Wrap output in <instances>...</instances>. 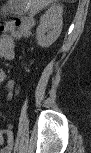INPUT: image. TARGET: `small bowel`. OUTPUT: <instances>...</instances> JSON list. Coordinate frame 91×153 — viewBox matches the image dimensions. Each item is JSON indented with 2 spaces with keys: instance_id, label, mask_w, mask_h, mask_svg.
Here are the masks:
<instances>
[{
  "instance_id": "small-bowel-1",
  "label": "small bowel",
  "mask_w": 91,
  "mask_h": 153,
  "mask_svg": "<svg viewBox=\"0 0 91 153\" xmlns=\"http://www.w3.org/2000/svg\"><path fill=\"white\" fill-rule=\"evenodd\" d=\"M12 23H9L7 26L9 27V31L12 33L14 37H23V36H28L30 34V29L24 30V29H14L11 26ZM1 55L4 58H10L12 57L13 54V44L10 46H1L0 49ZM0 78L3 80L5 78V74L3 72L0 73ZM9 96H11V93H9ZM5 135L7 137V145L2 149V152L4 153H9L11 152L13 143H14V137L11 129L5 130Z\"/></svg>"
}]
</instances>
